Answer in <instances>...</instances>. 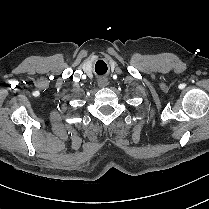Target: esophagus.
Wrapping results in <instances>:
<instances>
[{
    "mask_svg": "<svg viewBox=\"0 0 209 209\" xmlns=\"http://www.w3.org/2000/svg\"><path fill=\"white\" fill-rule=\"evenodd\" d=\"M108 84V79L105 77H101L98 79V86L101 87H105Z\"/></svg>",
    "mask_w": 209,
    "mask_h": 209,
    "instance_id": "34e87169",
    "label": "esophagus"
}]
</instances>
